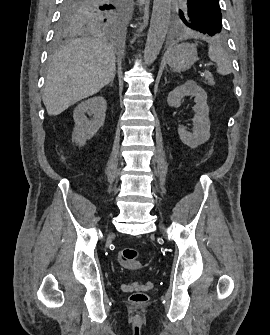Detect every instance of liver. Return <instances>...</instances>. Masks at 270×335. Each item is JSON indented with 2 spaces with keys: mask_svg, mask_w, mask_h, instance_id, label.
I'll return each mask as SVG.
<instances>
[{
  "mask_svg": "<svg viewBox=\"0 0 270 335\" xmlns=\"http://www.w3.org/2000/svg\"><path fill=\"white\" fill-rule=\"evenodd\" d=\"M115 52L106 38H76L47 68L42 100L49 116L97 94L115 78Z\"/></svg>",
  "mask_w": 270,
  "mask_h": 335,
  "instance_id": "liver-1",
  "label": "liver"
}]
</instances>
